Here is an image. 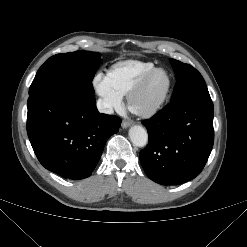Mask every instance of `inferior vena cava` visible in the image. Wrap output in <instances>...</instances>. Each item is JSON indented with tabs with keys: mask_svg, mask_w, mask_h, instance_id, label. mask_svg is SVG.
Returning a JSON list of instances; mask_svg holds the SVG:
<instances>
[{
	"mask_svg": "<svg viewBox=\"0 0 247 247\" xmlns=\"http://www.w3.org/2000/svg\"><path fill=\"white\" fill-rule=\"evenodd\" d=\"M97 108H98L99 112H101V113H105V114H113L114 113L112 106L107 101H105L104 99H99L97 101Z\"/></svg>",
	"mask_w": 247,
	"mask_h": 247,
	"instance_id": "602c4592",
	"label": "inferior vena cava"
}]
</instances>
